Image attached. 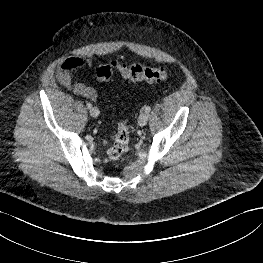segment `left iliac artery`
I'll list each match as a JSON object with an SVG mask.
<instances>
[{"mask_svg": "<svg viewBox=\"0 0 263 263\" xmlns=\"http://www.w3.org/2000/svg\"><path fill=\"white\" fill-rule=\"evenodd\" d=\"M144 111H145L146 113H149V112L151 111V107H150V106L145 107Z\"/></svg>", "mask_w": 263, "mask_h": 263, "instance_id": "44dca946", "label": "left iliac artery"}]
</instances>
